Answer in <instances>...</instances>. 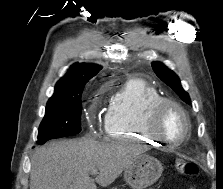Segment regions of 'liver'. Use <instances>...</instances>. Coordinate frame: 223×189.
I'll return each instance as SVG.
<instances>
[{
  "instance_id": "obj_1",
  "label": "liver",
  "mask_w": 223,
  "mask_h": 189,
  "mask_svg": "<svg viewBox=\"0 0 223 189\" xmlns=\"http://www.w3.org/2000/svg\"><path fill=\"white\" fill-rule=\"evenodd\" d=\"M139 154L138 146L122 141H54L36 150L30 189H97L95 182L107 187ZM93 170L99 171L95 179L90 177Z\"/></svg>"
}]
</instances>
